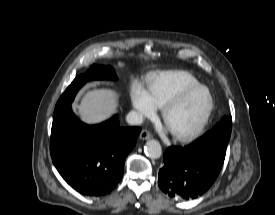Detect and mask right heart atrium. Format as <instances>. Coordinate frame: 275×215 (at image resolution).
Segmentation results:
<instances>
[{
	"instance_id": "1",
	"label": "right heart atrium",
	"mask_w": 275,
	"mask_h": 215,
	"mask_svg": "<svg viewBox=\"0 0 275 215\" xmlns=\"http://www.w3.org/2000/svg\"><path fill=\"white\" fill-rule=\"evenodd\" d=\"M131 100L140 119L150 118L155 115L156 105L151 100L148 91L138 83L132 86Z\"/></svg>"
}]
</instances>
